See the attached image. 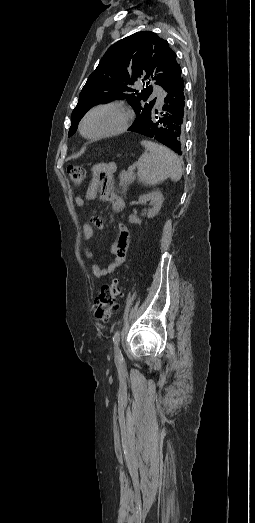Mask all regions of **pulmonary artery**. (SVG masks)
Instances as JSON below:
<instances>
[{"instance_id": "obj_1", "label": "pulmonary artery", "mask_w": 255, "mask_h": 523, "mask_svg": "<svg viewBox=\"0 0 255 523\" xmlns=\"http://www.w3.org/2000/svg\"><path fill=\"white\" fill-rule=\"evenodd\" d=\"M151 100H153V106L155 108H160L162 106V101L164 98V95L161 90V85L159 83H156L154 85L153 93L150 95Z\"/></svg>"}]
</instances>
